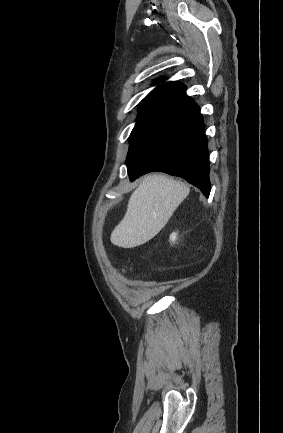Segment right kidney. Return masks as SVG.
Segmentation results:
<instances>
[{
    "label": "right kidney",
    "mask_w": 283,
    "mask_h": 433,
    "mask_svg": "<svg viewBox=\"0 0 283 433\" xmlns=\"http://www.w3.org/2000/svg\"><path fill=\"white\" fill-rule=\"evenodd\" d=\"M176 239H177V233H176V232H173V233L170 235V241L174 243Z\"/></svg>",
    "instance_id": "ca27d5eb"
}]
</instances>
